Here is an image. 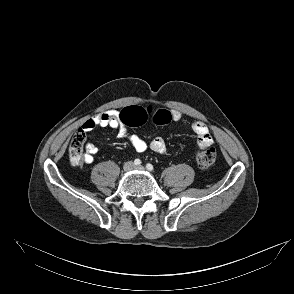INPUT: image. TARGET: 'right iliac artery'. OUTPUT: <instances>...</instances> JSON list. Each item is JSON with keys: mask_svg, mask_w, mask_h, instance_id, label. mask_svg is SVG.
<instances>
[{"mask_svg": "<svg viewBox=\"0 0 294 294\" xmlns=\"http://www.w3.org/2000/svg\"><path fill=\"white\" fill-rule=\"evenodd\" d=\"M134 164L135 165H140L141 164V160L140 159H135L134 160Z\"/></svg>", "mask_w": 294, "mask_h": 294, "instance_id": "1", "label": "right iliac artery"}]
</instances>
